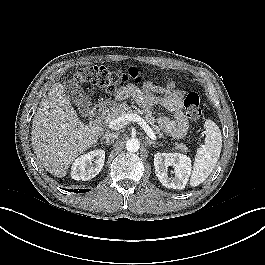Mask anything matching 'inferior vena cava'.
I'll return each mask as SVG.
<instances>
[{"mask_svg": "<svg viewBox=\"0 0 265 265\" xmlns=\"http://www.w3.org/2000/svg\"><path fill=\"white\" fill-rule=\"evenodd\" d=\"M119 137V134L118 133H111V132H106L104 134V138L107 140V141H113L115 139H117Z\"/></svg>", "mask_w": 265, "mask_h": 265, "instance_id": "obj_1", "label": "inferior vena cava"}]
</instances>
